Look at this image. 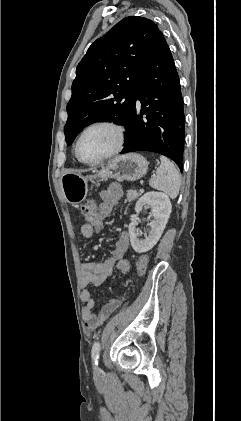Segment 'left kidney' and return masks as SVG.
Segmentation results:
<instances>
[{
  "instance_id": "left-kidney-1",
  "label": "left kidney",
  "mask_w": 241,
  "mask_h": 421,
  "mask_svg": "<svg viewBox=\"0 0 241 421\" xmlns=\"http://www.w3.org/2000/svg\"><path fill=\"white\" fill-rule=\"evenodd\" d=\"M145 205L151 207L154 220L150 223L151 230L145 239L137 235V223L131 222L128 231L132 248L137 253H144L153 248L160 239L171 214L172 205L169 197L161 192H147L136 203L135 211L140 213Z\"/></svg>"
}]
</instances>
